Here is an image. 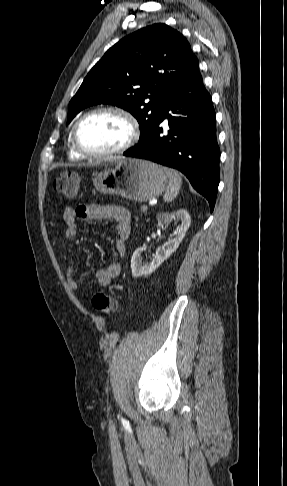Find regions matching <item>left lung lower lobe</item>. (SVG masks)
Segmentation results:
<instances>
[{"label":"left lung lower lobe","instance_id":"0a47b994","mask_svg":"<svg viewBox=\"0 0 287 486\" xmlns=\"http://www.w3.org/2000/svg\"><path fill=\"white\" fill-rule=\"evenodd\" d=\"M165 118L169 122L168 128L163 130L161 124ZM123 155L181 171L193 188L209 201L213 211L219 184L220 150L216 139V114L199 65L171 88L154 126L136 147Z\"/></svg>","mask_w":287,"mask_h":486}]
</instances>
